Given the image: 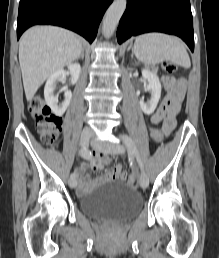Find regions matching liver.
Masks as SVG:
<instances>
[{
  "label": "liver",
  "instance_id": "6515ba94",
  "mask_svg": "<svg viewBox=\"0 0 219 258\" xmlns=\"http://www.w3.org/2000/svg\"><path fill=\"white\" fill-rule=\"evenodd\" d=\"M82 51L78 37L65 29L35 26L19 43V63L27 101H31L44 81L76 60Z\"/></svg>",
  "mask_w": 219,
  "mask_h": 258
}]
</instances>
